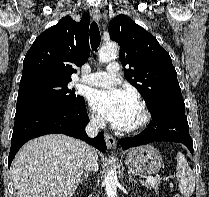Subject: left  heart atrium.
<instances>
[{
    "instance_id": "obj_1",
    "label": "left heart atrium",
    "mask_w": 209,
    "mask_h": 197,
    "mask_svg": "<svg viewBox=\"0 0 209 197\" xmlns=\"http://www.w3.org/2000/svg\"><path fill=\"white\" fill-rule=\"evenodd\" d=\"M90 103L103 118L118 128L130 127L138 109L131 93L113 87L95 91Z\"/></svg>"
}]
</instances>
